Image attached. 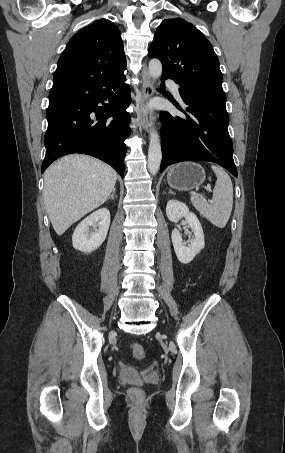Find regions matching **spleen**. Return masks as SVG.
I'll use <instances>...</instances> for the list:
<instances>
[{
	"label": "spleen",
	"mask_w": 285,
	"mask_h": 453,
	"mask_svg": "<svg viewBox=\"0 0 285 453\" xmlns=\"http://www.w3.org/2000/svg\"><path fill=\"white\" fill-rule=\"evenodd\" d=\"M217 181L210 202L203 195L191 196L195 209L218 228H224L230 218L233 206V185L229 175L218 166H211Z\"/></svg>",
	"instance_id": "spleen-1"
}]
</instances>
